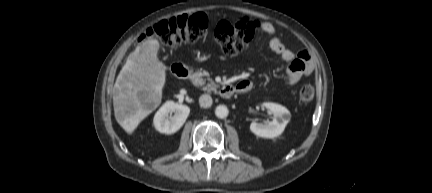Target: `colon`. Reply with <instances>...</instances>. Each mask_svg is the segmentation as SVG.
<instances>
[{
	"instance_id": "obj_1",
	"label": "colon",
	"mask_w": 432,
	"mask_h": 193,
	"mask_svg": "<svg viewBox=\"0 0 432 193\" xmlns=\"http://www.w3.org/2000/svg\"><path fill=\"white\" fill-rule=\"evenodd\" d=\"M207 16L203 13L180 15L155 23L142 35L143 38L154 37L168 48L181 44H194L206 33ZM254 31L246 22L230 23L221 21L214 31V39L224 54L232 56L245 50L253 37ZM315 90L310 84L303 85L299 97L303 102L314 98Z\"/></svg>"
}]
</instances>
